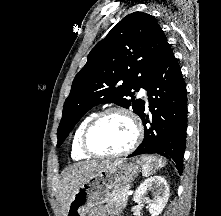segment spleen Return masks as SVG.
Returning <instances> with one entry per match:
<instances>
[{
	"label": "spleen",
	"mask_w": 221,
	"mask_h": 216,
	"mask_svg": "<svg viewBox=\"0 0 221 216\" xmlns=\"http://www.w3.org/2000/svg\"><path fill=\"white\" fill-rule=\"evenodd\" d=\"M137 163L142 167V175L148 177L152 175L156 170L162 168L165 162L162 159H158L155 156H141L137 160Z\"/></svg>",
	"instance_id": "spleen-1"
}]
</instances>
